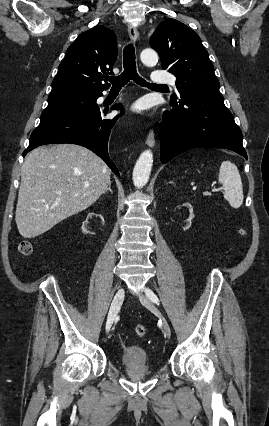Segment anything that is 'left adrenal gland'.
<instances>
[{
  "label": "left adrenal gland",
  "mask_w": 269,
  "mask_h": 426,
  "mask_svg": "<svg viewBox=\"0 0 269 426\" xmlns=\"http://www.w3.org/2000/svg\"><path fill=\"white\" fill-rule=\"evenodd\" d=\"M169 183H170V184H172L173 182H172V181H170Z\"/></svg>",
  "instance_id": "obj_1"
}]
</instances>
